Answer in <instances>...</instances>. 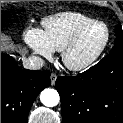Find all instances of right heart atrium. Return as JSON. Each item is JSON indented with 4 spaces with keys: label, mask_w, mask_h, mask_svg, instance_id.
I'll return each instance as SVG.
<instances>
[{
    "label": "right heart atrium",
    "mask_w": 123,
    "mask_h": 123,
    "mask_svg": "<svg viewBox=\"0 0 123 123\" xmlns=\"http://www.w3.org/2000/svg\"><path fill=\"white\" fill-rule=\"evenodd\" d=\"M23 39L26 45L40 57L49 59L52 57L54 50L50 47L45 39L42 30L29 27L23 32Z\"/></svg>",
    "instance_id": "d8ad5b80"
}]
</instances>
